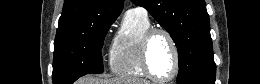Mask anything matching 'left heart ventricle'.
Here are the masks:
<instances>
[{"instance_id":"left-heart-ventricle-1","label":"left heart ventricle","mask_w":260,"mask_h":84,"mask_svg":"<svg viewBox=\"0 0 260 84\" xmlns=\"http://www.w3.org/2000/svg\"><path fill=\"white\" fill-rule=\"evenodd\" d=\"M149 63L153 73L160 78L169 77L174 70L173 49L162 34H157L151 41Z\"/></svg>"}]
</instances>
